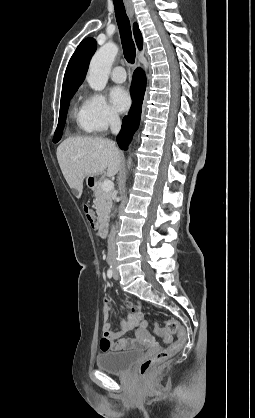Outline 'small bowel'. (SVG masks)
Instances as JSON below:
<instances>
[{
  "mask_svg": "<svg viewBox=\"0 0 255 418\" xmlns=\"http://www.w3.org/2000/svg\"><path fill=\"white\" fill-rule=\"evenodd\" d=\"M130 310L126 318L119 320L118 329H111L108 322H104L102 326V333L99 347L101 351L107 352L110 350H125L134 345L133 338H122L126 332L136 329L139 337H146L148 335L146 327L147 321L144 319L139 307L132 302H127ZM110 311V305L105 303L103 305V315L107 316Z\"/></svg>",
  "mask_w": 255,
  "mask_h": 418,
  "instance_id": "small-bowel-1",
  "label": "small bowel"
}]
</instances>
